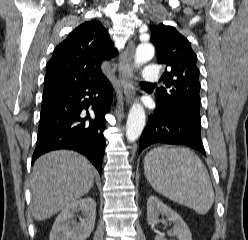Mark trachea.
<instances>
[{
	"instance_id": "1",
	"label": "trachea",
	"mask_w": 248,
	"mask_h": 240,
	"mask_svg": "<svg viewBox=\"0 0 248 240\" xmlns=\"http://www.w3.org/2000/svg\"><path fill=\"white\" fill-rule=\"evenodd\" d=\"M142 84H148V83L142 82Z\"/></svg>"
}]
</instances>
